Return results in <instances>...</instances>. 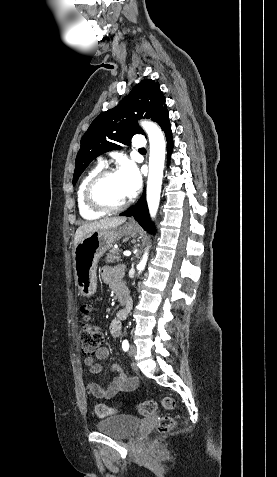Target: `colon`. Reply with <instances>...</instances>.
I'll return each mask as SVG.
<instances>
[{
  "instance_id": "obj_1",
  "label": "colon",
  "mask_w": 277,
  "mask_h": 477,
  "mask_svg": "<svg viewBox=\"0 0 277 477\" xmlns=\"http://www.w3.org/2000/svg\"><path fill=\"white\" fill-rule=\"evenodd\" d=\"M81 312L83 314V322L80 328L82 352L86 356H92L99 349L103 340V334L101 330L91 322L92 306L83 304L81 306ZM162 405L166 409H173L175 407V400L172 397H165L162 400ZM156 410L157 403L153 400L144 401L139 406V412L144 416L152 415ZM95 413L98 417L104 418L115 413V409L103 404H98L95 406ZM176 421L177 418L173 416L162 417L158 423L157 431L160 434L169 432L175 426Z\"/></svg>"
}]
</instances>
